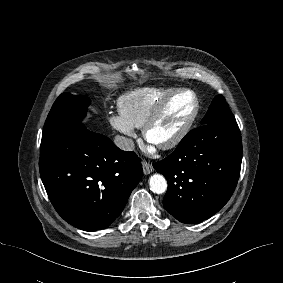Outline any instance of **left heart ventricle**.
Listing matches in <instances>:
<instances>
[{"label":"left heart ventricle","instance_id":"obj_1","mask_svg":"<svg viewBox=\"0 0 283 283\" xmlns=\"http://www.w3.org/2000/svg\"><path fill=\"white\" fill-rule=\"evenodd\" d=\"M193 106L194 102L189 94L176 97L152 127L150 140L158 144L171 138L187 120Z\"/></svg>","mask_w":283,"mask_h":283}]
</instances>
